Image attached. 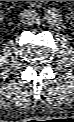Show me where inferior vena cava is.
<instances>
[{
  "mask_svg": "<svg viewBox=\"0 0 74 122\" xmlns=\"http://www.w3.org/2000/svg\"><path fill=\"white\" fill-rule=\"evenodd\" d=\"M34 14V11H30V10H24L21 13V20L24 23H29V18Z\"/></svg>",
  "mask_w": 74,
  "mask_h": 122,
  "instance_id": "obj_1",
  "label": "inferior vena cava"
}]
</instances>
